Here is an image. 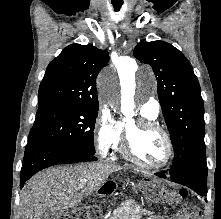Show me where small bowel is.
I'll return each mask as SVG.
<instances>
[{
	"instance_id": "small-bowel-1",
	"label": "small bowel",
	"mask_w": 221,
	"mask_h": 219,
	"mask_svg": "<svg viewBox=\"0 0 221 219\" xmlns=\"http://www.w3.org/2000/svg\"><path fill=\"white\" fill-rule=\"evenodd\" d=\"M145 219H162V218L160 216L152 215V216H149Z\"/></svg>"
}]
</instances>
